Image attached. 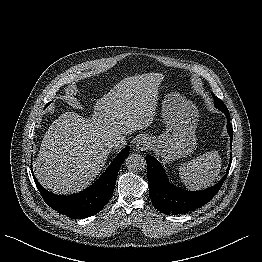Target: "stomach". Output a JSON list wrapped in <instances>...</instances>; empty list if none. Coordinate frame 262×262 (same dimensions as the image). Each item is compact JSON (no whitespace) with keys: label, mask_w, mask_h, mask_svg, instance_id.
I'll return each instance as SVG.
<instances>
[{"label":"stomach","mask_w":262,"mask_h":262,"mask_svg":"<svg viewBox=\"0 0 262 262\" xmlns=\"http://www.w3.org/2000/svg\"><path fill=\"white\" fill-rule=\"evenodd\" d=\"M161 115L165 131L155 140V148L165 162H173L191 154L196 147L198 124L196 106L179 93L170 92L162 101Z\"/></svg>","instance_id":"0dacf381"}]
</instances>
